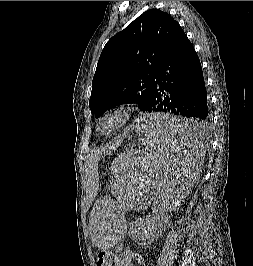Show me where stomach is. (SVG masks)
Instances as JSON below:
<instances>
[{
	"label": "stomach",
	"mask_w": 253,
	"mask_h": 266,
	"mask_svg": "<svg viewBox=\"0 0 253 266\" xmlns=\"http://www.w3.org/2000/svg\"><path fill=\"white\" fill-rule=\"evenodd\" d=\"M137 145V141L130 145L129 149H127L124 153H132V150H135V146ZM116 169L112 168V171ZM114 171V172H115ZM102 248H106V246H100Z\"/></svg>",
	"instance_id": "1"
}]
</instances>
